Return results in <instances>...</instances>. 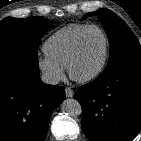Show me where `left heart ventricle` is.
<instances>
[{
	"instance_id": "b2bd125f",
	"label": "left heart ventricle",
	"mask_w": 141,
	"mask_h": 141,
	"mask_svg": "<svg viewBox=\"0 0 141 141\" xmlns=\"http://www.w3.org/2000/svg\"><path fill=\"white\" fill-rule=\"evenodd\" d=\"M105 48V40L98 30L89 31L81 46L80 54L74 64V72L78 76H86L100 65Z\"/></svg>"
}]
</instances>
